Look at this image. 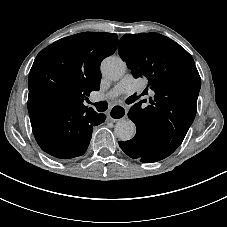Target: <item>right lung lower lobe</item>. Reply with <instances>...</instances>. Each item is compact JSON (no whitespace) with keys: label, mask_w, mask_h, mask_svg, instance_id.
Listing matches in <instances>:
<instances>
[{"label":"right lung lower lobe","mask_w":227,"mask_h":227,"mask_svg":"<svg viewBox=\"0 0 227 227\" xmlns=\"http://www.w3.org/2000/svg\"><path fill=\"white\" fill-rule=\"evenodd\" d=\"M91 108L57 110L43 101L30 115L32 130L39 146L59 159H70L85 153L93 127L105 120Z\"/></svg>","instance_id":"98d812e1"}]
</instances>
